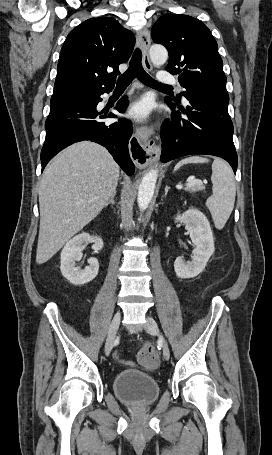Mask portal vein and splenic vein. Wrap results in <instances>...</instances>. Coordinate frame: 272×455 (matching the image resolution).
Returning <instances> with one entry per match:
<instances>
[{"label":"portal vein and splenic vein","instance_id":"obj_1","mask_svg":"<svg viewBox=\"0 0 272 455\" xmlns=\"http://www.w3.org/2000/svg\"><path fill=\"white\" fill-rule=\"evenodd\" d=\"M203 185V182L199 179H194V180H191L187 185L186 187L187 188H190V187H194V186H202Z\"/></svg>","mask_w":272,"mask_h":455}]
</instances>
